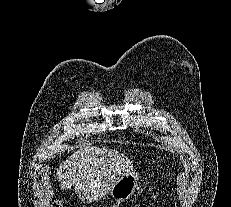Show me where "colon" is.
<instances>
[{"label": "colon", "instance_id": "obj_1", "mask_svg": "<svg viewBox=\"0 0 231 207\" xmlns=\"http://www.w3.org/2000/svg\"><path fill=\"white\" fill-rule=\"evenodd\" d=\"M52 207H63V205L60 202H54Z\"/></svg>", "mask_w": 231, "mask_h": 207}]
</instances>
